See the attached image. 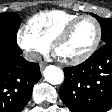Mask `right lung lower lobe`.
I'll return each instance as SVG.
<instances>
[{"label": "right lung lower lobe", "mask_w": 112, "mask_h": 112, "mask_svg": "<svg viewBox=\"0 0 112 112\" xmlns=\"http://www.w3.org/2000/svg\"><path fill=\"white\" fill-rule=\"evenodd\" d=\"M21 53L0 46V112H21L41 77L38 63L26 61Z\"/></svg>", "instance_id": "right-lung-lower-lobe-1"}]
</instances>
